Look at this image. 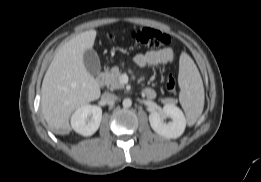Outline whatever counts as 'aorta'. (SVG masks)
<instances>
[{
	"instance_id": "1",
	"label": "aorta",
	"mask_w": 261,
	"mask_h": 182,
	"mask_svg": "<svg viewBox=\"0 0 261 182\" xmlns=\"http://www.w3.org/2000/svg\"><path fill=\"white\" fill-rule=\"evenodd\" d=\"M123 106L125 108L131 107L132 105V100L130 98H125L122 102Z\"/></svg>"
}]
</instances>
